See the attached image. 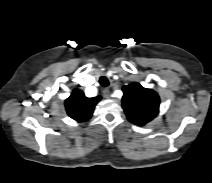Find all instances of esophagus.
<instances>
[{
    "label": "esophagus",
    "mask_w": 212,
    "mask_h": 183,
    "mask_svg": "<svg viewBox=\"0 0 212 183\" xmlns=\"http://www.w3.org/2000/svg\"><path fill=\"white\" fill-rule=\"evenodd\" d=\"M103 95L105 98L110 99L111 98V92L108 88L103 90Z\"/></svg>",
    "instance_id": "1"
}]
</instances>
